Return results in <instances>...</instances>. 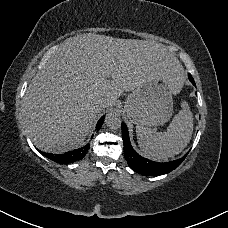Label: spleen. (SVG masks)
Instances as JSON below:
<instances>
[{"mask_svg":"<svg viewBox=\"0 0 228 228\" xmlns=\"http://www.w3.org/2000/svg\"><path fill=\"white\" fill-rule=\"evenodd\" d=\"M182 107L164 132L151 131L144 124H137L136 135L143 155L158 161L166 160L186 147L193 133V118L188 105L182 103Z\"/></svg>","mask_w":228,"mask_h":228,"instance_id":"1","label":"spleen"}]
</instances>
